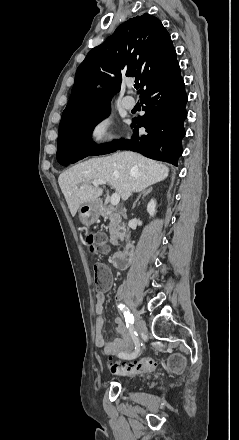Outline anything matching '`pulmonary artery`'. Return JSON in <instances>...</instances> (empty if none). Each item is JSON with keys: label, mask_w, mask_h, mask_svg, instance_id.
Wrapping results in <instances>:
<instances>
[{"label": "pulmonary artery", "mask_w": 239, "mask_h": 440, "mask_svg": "<svg viewBox=\"0 0 239 440\" xmlns=\"http://www.w3.org/2000/svg\"><path fill=\"white\" fill-rule=\"evenodd\" d=\"M132 92H133V86L129 85L128 86V93H132ZM121 104L125 109L132 110L135 107L136 103L131 96H125L122 99Z\"/></svg>", "instance_id": "1"}]
</instances>
